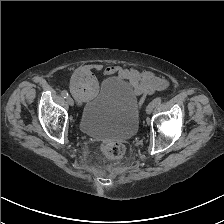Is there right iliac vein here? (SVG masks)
I'll return each mask as SVG.
<instances>
[{"label":"right iliac vein","instance_id":"right-iliac-vein-1","mask_svg":"<svg viewBox=\"0 0 224 224\" xmlns=\"http://www.w3.org/2000/svg\"><path fill=\"white\" fill-rule=\"evenodd\" d=\"M67 103L70 105V106H73L74 105V101L71 97H67Z\"/></svg>","mask_w":224,"mask_h":224}]
</instances>
